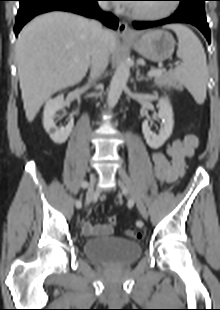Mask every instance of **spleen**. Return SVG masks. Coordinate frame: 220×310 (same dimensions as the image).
Wrapping results in <instances>:
<instances>
[{
	"instance_id": "1",
	"label": "spleen",
	"mask_w": 220,
	"mask_h": 310,
	"mask_svg": "<svg viewBox=\"0 0 220 310\" xmlns=\"http://www.w3.org/2000/svg\"><path fill=\"white\" fill-rule=\"evenodd\" d=\"M166 28L172 29L178 38L177 56L182 65L175 68L177 80L192 94L198 104L206 99L208 82V67L204 48L191 29L182 24H171Z\"/></svg>"
}]
</instances>
